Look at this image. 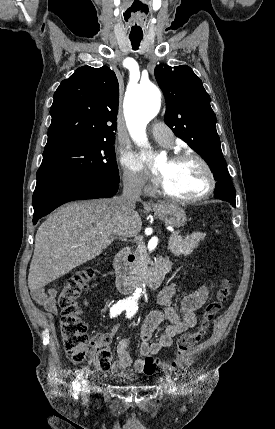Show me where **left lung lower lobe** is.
Listing matches in <instances>:
<instances>
[{
    "instance_id": "1",
    "label": "left lung lower lobe",
    "mask_w": 275,
    "mask_h": 429,
    "mask_svg": "<svg viewBox=\"0 0 275 429\" xmlns=\"http://www.w3.org/2000/svg\"><path fill=\"white\" fill-rule=\"evenodd\" d=\"M214 197H215V198H217V199H221V200L227 201V202H229L233 207H235V203L230 202V201H229V199H228V197L223 196L222 194L216 193Z\"/></svg>"
}]
</instances>
